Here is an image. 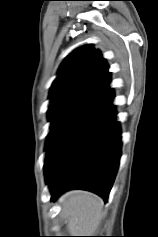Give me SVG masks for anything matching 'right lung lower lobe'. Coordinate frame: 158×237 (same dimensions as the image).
<instances>
[{
    "mask_svg": "<svg viewBox=\"0 0 158 237\" xmlns=\"http://www.w3.org/2000/svg\"><path fill=\"white\" fill-rule=\"evenodd\" d=\"M113 97L107 89L50 132L44 168L53 201L66 190L84 189L107 202L121 156Z\"/></svg>",
    "mask_w": 158,
    "mask_h": 237,
    "instance_id": "1",
    "label": "right lung lower lobe"
}]
</instances>
